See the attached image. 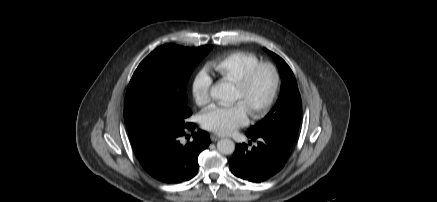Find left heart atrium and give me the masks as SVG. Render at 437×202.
I'll use <instances>...</instances> for the list:
<instances>
[{
	"label": "left heart atrium",
	"instance_id": "39dd6f15",
	"mask_svg": "<svg viewBox=\"0 0 437 202\" xmlns=\"http://www.w3.org/2000/svg\"><path fill=\"white\" fill-rule=\"evenodd\" d=\"M248 114L242 102L229 106H213L203 113L201 123L209 131L227 135L245 125L248 121Z\"/></svg>",
	"mask_w": 437,
	"mask_h": 202
}]
</instances>
